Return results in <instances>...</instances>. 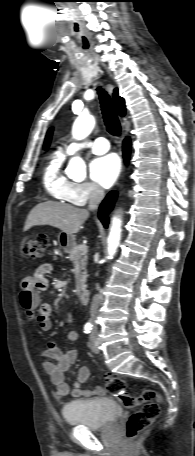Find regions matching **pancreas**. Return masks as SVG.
Wrapping results in <instances>:
<instances>
[{
    "label": "pancreas",
    "mask_w": 195,
    "mask_h": 456,
    "mask_svg": "<svg viewBox=\"0 0 195 456\" xmlns=\"http://www.w3.org/2000/svg\"><path fill=\"white\" fill-rule=\"evenodd\" d=\"M81 245L74 246L71 250H69V259L70 261H73L77 263L82 270V272L79 274L77 277V284L81 287V289L85 288V282L87 278V273H86V261H87V256L86 253L82 250H80Z\"/></svg>",
    "instance_id": "pancreas-1"
}]
</instances>
